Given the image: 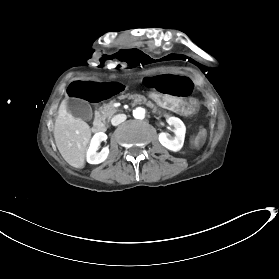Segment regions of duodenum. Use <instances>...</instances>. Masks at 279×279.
<instances>
[{"mask_svg": "<svg viewBox=\"0 0 279 279\" xmlns=\"http://www.w3.org/2000/svg\"><path fill=\"white\" fill-rule=\"evenodd\" d=\"M99 119H100V122H103L102 114H99ZM91 129L93 131L101 132V133H105L107 131V128L105 126H103V124H100V125L93 124L91 126Z\"/></svg>", "mask_w": 279, "mask_h": 279, "instance_id": "duodenum-1", "label": "duodenum"}]
</instances>
